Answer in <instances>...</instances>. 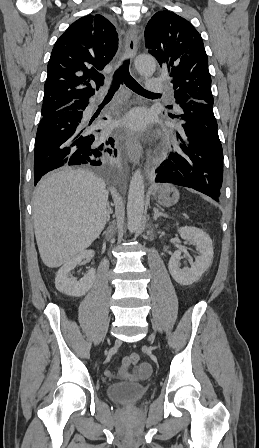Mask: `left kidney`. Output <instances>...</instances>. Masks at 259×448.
I'll return each mask as SVG.
<instances>
[{
    "instance_id": "obj_1",
    "label": "left kidney",
    "mask_w": 259,
    "mask_h": 448,
    "mask_svg": "<svg viewBox=\"0 0 259 448\" xmlns=\"http://www.w3.org/2000/svg\"><path fill=\"white\" fill-rule=\"evenodd\" d=\"M182 240H189L196 246L200 256H197L196 262L191 264V268H183L180 270V250H176L173 256H171L168 264L169 272L180 286H191L197 280H200L202 274L207 272L209 266H211L213 258V246L212 240L206 232L199 230V228H179L178 230Z\"/></svg>"
}]
</instances>
